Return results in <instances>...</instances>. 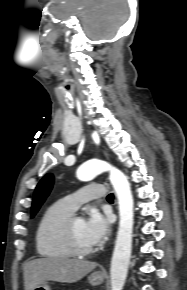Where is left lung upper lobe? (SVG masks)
<instances>
[{
	"label": "left lung upper lobe",
	"mask_w": 187,
	"mask_h": 290,
	"mask_svg": "<svg viewBox=\"0 0 187 290\" xmlns=\"http://www.w3.org/2000/svg\"><path fill=\"white\" fill-rule=\"evenodd\" d=\"M53 186V175L47 174L45 175L42 180L39 182L35 189L34 197H33V203H32V209H31V215L32 217L37 213L40 206L48 196V194L51 191V188Z\"/></svg>",
	"instance_id": "left-lung-upper-lobe-1"
}]
</instances>
